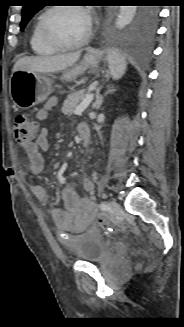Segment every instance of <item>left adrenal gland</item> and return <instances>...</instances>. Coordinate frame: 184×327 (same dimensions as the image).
I'll list each match as a JSON object with an SVG mask.
<instances>
[{
	"label": "left adrenal gland",
	"mask_w": 184,
	"mask_h": 327,
	"mask_svg": "<svg viewBox=\"0 0 184 327\" xmlns=\"http://www.w3.org/2000/svg\"><path fill=\"white\" fill-rule=\"evenodd\" d=\"M100 90H101V87H99L97 90H96V95H95V102L93 103V108H95L96 110H98L102 103H103V99L104 97L100 95ZM115 90H109L106 92L105 95L109 94V93H113Z\"/></svg>",
	"instance_id": "obj_1"
}]
</instances>
